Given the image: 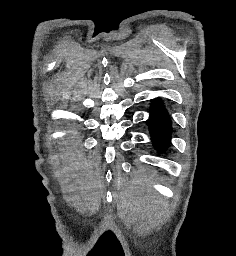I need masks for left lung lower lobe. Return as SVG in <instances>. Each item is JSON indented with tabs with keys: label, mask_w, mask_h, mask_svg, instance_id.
Wrapping results in <instances>:
<instances>
[{
	"label": "left lung lower lobe",
	"mask_w": 236,
	"mask_h": 256,
	"mask_svg": "<svg viewBox=\"0 0 236 256\" xmlns=\"http://www.w3.org/2000/svg\"><path fill=\"white\" fill-rule=\"evenodd\" d=\"M151 108L148 123L153 144L159 151H164L170 144L171 121L160 100H155Z\"/></svg>",
	"instance_id": "left-lung-lower-lobe-1"
}]
</instances>
